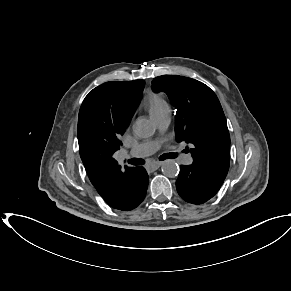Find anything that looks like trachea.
Listing matches in <instances>:
<instances>
[{
  "instance_id": "obj_1",
  "label": "trachea",
  "mask_w": 291,
  "mask_h": 291,
  "mask_svg": "<svg viewBox=\"0 0 291 291\" xmlns=\"http://www.w3.org/2000/svg\"><path fill=\"white\" fill-rule=\"evenodd\" d=\"M176 157H177L176 153H168V154H164L163 156H161L160 160H165L168 158L174 159ZM128 162L132 165H142L145 163V161L143 159H138V158L131 159Z\"/></svg>"
}]
</instances>
